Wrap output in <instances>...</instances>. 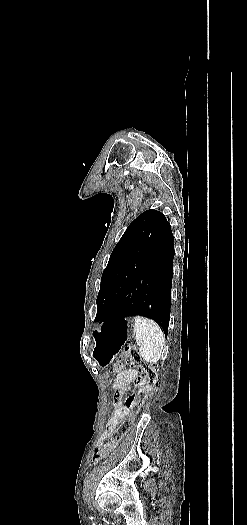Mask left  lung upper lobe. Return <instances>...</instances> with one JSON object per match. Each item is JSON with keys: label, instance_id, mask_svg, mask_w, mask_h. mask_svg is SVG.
<instances>
[{"label": "left lung upper lobe", "instance_id": "5c2ea615", "mask_svg": "<svg viewBox=\"0 0 247 525\" xmlns=\"http://www.w3.org/2000/svg\"><path fill=\"white\" fill-rule=\"evenodd\" d=\"M169 227L165 216L152 209L139 215L127 227L103 272L96 300L98 310L95 321H103L146 268L150 256Z\"/></svg>", "mask_w": 247, "mask_h": 525}]
</instances>
